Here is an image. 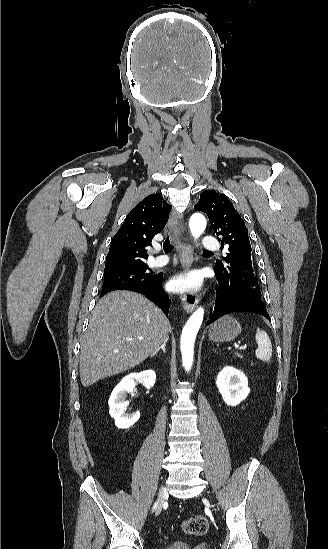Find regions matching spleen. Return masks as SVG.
I'll use <instances>...</instances> for the list:
<instances>
[{
	"mask_svg": "<svg viewBox=\"0 0 328 549\" xmlns=\"http://www.w3.org/2000/svg\"><path fill=\"white\" fill-rule=\"evenodd\" d=\"M255 339L258 345V349L255 351L256 359L266 361L267 363V361H270L272 357L271 341L267 333H265V331H261V329H257Z\"/></svg>",
	"mask_w": 328,
	"mask_h": 549,
	"instance_id": "3e777b00",
	"label": "spleen"
}]
</instances>
